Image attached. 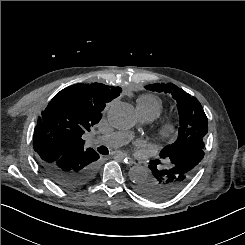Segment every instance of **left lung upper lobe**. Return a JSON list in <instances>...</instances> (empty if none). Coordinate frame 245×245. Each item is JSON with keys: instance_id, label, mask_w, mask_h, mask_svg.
Wrapping results in <instances>:
<instances>
[{"instance_id": "left-lung-upper-lobe-1", "label": "left lung upper lobe", "mask_w": 245, "mask_h": 245, "mask_svg": "<svg viewBox=\"0 0 245 245\" xmlns=\"http://www.w3.org/2000/svg\"><path fill=\"white\" fill-rule=\"evenodd\" d=\"M145 88L150 91L170 93L177 101L180 116L178 138L173 144L161 150L160 158L166 159L187 148L203 149V139L207 134L208 120L200 102L172 83L150 84Z\"/></svg>"}]
</instances>
